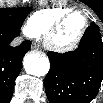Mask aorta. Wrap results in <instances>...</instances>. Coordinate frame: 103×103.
Wrapping results in <instances>:
<instances>
[{"mask_svg":"<svg viewBox=\"0 0 103 103\" xmlns=\"http://www.w3.org/2000/svg\"><path fill=\"white\" fill-rule=\"evenodd\" d=\"M23 65L28 74L38 77L46 75L50 68L49 59L37 53L27 54Z\"/></svg>","mask_w":103,"mask_h":103,"instance_id":"762f6f07","label":"aorta"}]
</instances>
